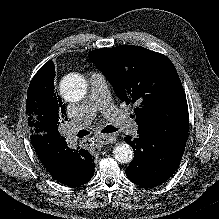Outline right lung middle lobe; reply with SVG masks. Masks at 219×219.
Masks as SVG:
<instances>
[{
	"mask_svg": "<svg viewBox=\"0 0 219 219\" xmlns=\"http://www.w3.org/2000/svg\"><path fill=\"white\" fill-rule=\"evenodd\" d=\"M26 113L32 133L60 136L58 131L64 122V105L53 96L45 95L40 83L30 82L27 91Z\"/></svg>",
	"mask_w": 219,
	"mask_h": 219,
	"instance_id": "obj_1",
	"label": "right lung middle lobe"
}]
</instances>
